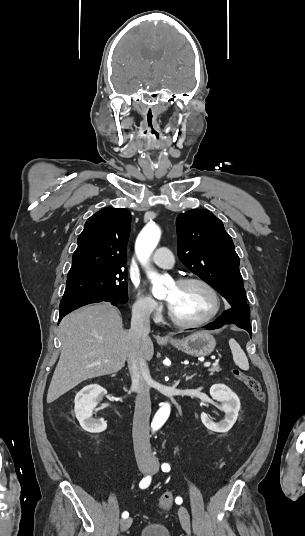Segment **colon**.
Listing matches in <instances>:
<instances>
[{"label": "colon", "mask_w": 305, "mask_h": 536, "mask_svg": "<svg viewBox=\"0 0 305 536\" xmlns=\"http://www.w3.org/2000/svg\"><path fill=\"white\" fill-rule=\"evenodd\" d=\"M231 374L235 379L245 384L253 393L256 400L260 403H263L266 399V392L262 387L259 380L252 377L251 375L246 374L238 368H233ZM173 506V494L171 492H164L157 502V510L161 513L168 512Z\"/></svg>", "instance_id": "obj_1"}]
</instances>
